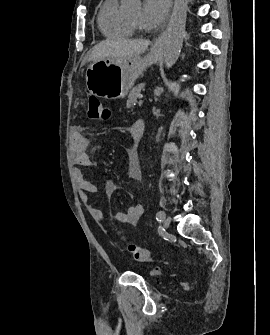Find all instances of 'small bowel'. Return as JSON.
<instances>
[{
  "instance_id": "obj_1",
  "label": "small bowel",
  "mask_w": 270,
  "mask_h": 335,
  "mask_svg": "<svg viewBox=\"0 0 270 335\" xmlns=\"http://www.w3.org/2000/svg\"><path fill=\"white\" fill-rule=\"evenodd\" d=\"M133 131V126L131 127ZM88 140L83 135L79 126H74L71 129L70 134V154L71 161L75 165L73 170L74 179L76 185L80 191V199L87 206V209L91 217L98 223L104 221V215L101 209L95 207L90 203L89 194H95L98 192V188L95 184L86 179L81 168L94 167V162L91 160L87 153ZM129 167V177L134 180H139L142 177V172L139 164V157L137 151V143L134 144L127 150ZM105 193L108 197H111L117 190V185L114 181L108 179L105 181ZM145 208L142 204H134L126 209V211H119L115 215L114 221L121 224H137L143 216Z\"/></svg>"
}]
</instances>
